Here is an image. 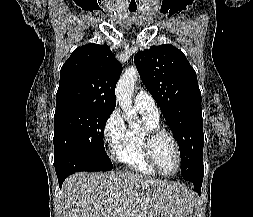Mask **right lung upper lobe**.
Instances as JSON below:
<instances>
[{"mask_svg": "<svg viewBox=\"0 0 253 217\" xmlns=\"http://www.w3.org/2000/svg\"><path fill=\"white\" fill-rule=\"evenodd\" d=\"M121 72L122 65L107 44L76 48L61 68L56 106L78 104L114 110Z\"/></svg>", "mask_w": 253, "mask_h": 217, "instance_id": "cb5924a9", "label": "right lung upper lobe"}]
</instances>
